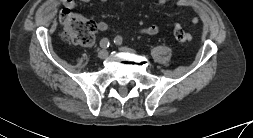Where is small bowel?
<instances>
[{"label": "small bowel", "instance_id": "obj_1", "mask_svg": "<svg viewBox=\"0 0 253 138\" xmlns=\"http://www.w3.org/2000/svg\"><path fill=\"white\" fill-rule=\"evenodd\" d=\"M63 6L68 9V10H72L75 8L76 6V2L75 0H61ZM81 2L87 3L90 0H80ZM101 2H106L107 0H99ZM170 0H156L158 5H164L166 3H168ZM194 7V5L189 2L188 0H178L176 2V7L181 8V7ZM200 19V15L198 14L197 16H195L194 18H192V23H197ZM95 27H96V31H100V32H107L110 30H115V28H112L108 23L104 22V21H99L95 23ZM160 31L159 26L157 25H148V26H144L142 28H140L138 30L139 33L141 34H146V35H156L158 34Z\"/></svg>", "mask_w": 253, "mask_h": 138}]
</instances>
